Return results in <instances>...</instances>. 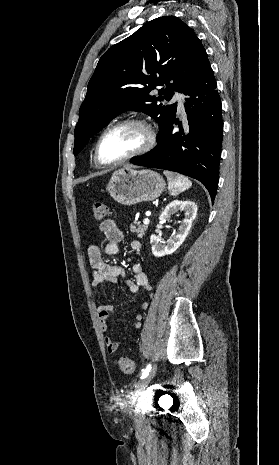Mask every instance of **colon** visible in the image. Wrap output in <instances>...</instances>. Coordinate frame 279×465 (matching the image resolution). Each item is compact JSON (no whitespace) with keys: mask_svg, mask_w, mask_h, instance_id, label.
Returning <instances> with one entry per match:
<instances>
[{"mask_svg":"<svg viewBox=\"0 0 279 465\" xmlns=\"http://www.w3.org/2000/svg\"><path fill=\"white\" fill-rule=\"evenodd\" d=\"M93 216L97 220H102L110 215L109 207L101 202H96L92 205ZM119 368L125 374H132L135 370V364L132 359L128 357H121L119 359Z\"/></svg>","mask_w":279,"mask_h":465,"instance_id":"obj_1","label":"colon"}]
</instances>
